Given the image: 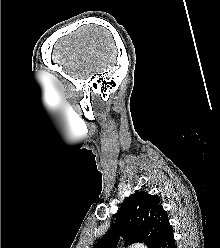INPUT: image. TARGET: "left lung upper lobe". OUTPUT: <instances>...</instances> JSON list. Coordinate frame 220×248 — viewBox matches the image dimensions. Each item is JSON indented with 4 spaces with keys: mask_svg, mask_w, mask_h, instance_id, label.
I'll use <instances>...</instances> for the list:
<instances>
[{
    "mask_svg": "<svg viewBox=\"0 0 220 248\" xmlns=\"http://www.w3.org/2000/svg\"><path fill=\"white\" fill-rule=\"evenodd\" d=\"M169 225L168 216L160 205L159 198L146 192H138L124 200L115 223L93 248H112L119 241L120 235L126 246L142 242L148 248H154Z\"/></svg>",
    "mask_w": 220,
    "mask_h": 248,
    "instance_id": "left-lung-upper-lobe-1",
    "label": "left lung upper lobe"
}]
</instances>
